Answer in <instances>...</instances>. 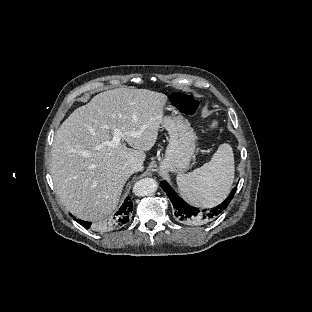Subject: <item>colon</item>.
Returning <instances> with one entry per match:
<instances>
[{
  "mask_svg": "<svg viewBox=\"0 0 312 312\" xmlns=\"http://www.w3.org/2000/svg\"><path fill=\"white\" fill-rule=\"evenodd\" d=\"M173 107L184 115H195L200 107L199 102L191 95L176 92L171 97ZM216 123H212L215 125Z\"/></svg>",
  "mask_w": 312,
  "mask_h": 312,
  "instance_id": "colon-1",
  "label": "colon"
}]
</instances>
